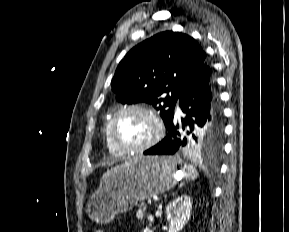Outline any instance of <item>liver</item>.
Here are the masks:
<instances>
[{"label": "liver", "mask_w": 289, "mask_h": 232, "mask_svg": "<svg viewBox=\"0 0 289 232\" xmlns=\"http://www.w3.org/2000/svg\"><path fill=\"white\" fill-rule=\"evenodd\" d=\"M111 170H108L101 178L100 185L102 184L103 180L110 174Z\"/></svg>", "instance_id": "1"}]
</instances>
